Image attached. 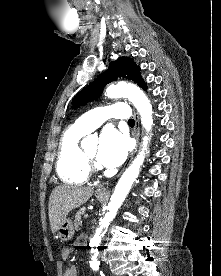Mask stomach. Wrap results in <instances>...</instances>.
Instances as JSON below:
<instances>
[{"mask_svg": "<svg viewBox=\"0 0 221 276\" xmlns=\"http://www.w3.org/2000/svg\"><path fill=\"white\" fill-rule=\"evenodd\" d=\"M96 198L102 202L106 200L107 196L96 193ZM74 233V226L71 219L66 218L58 228V237L62 241H69L70 239H72Z\"/></svg>", "mask_w": 221, "mask_h": 276, "instance_id": "0dacf381", "label": "stomach"}]
</instances>
